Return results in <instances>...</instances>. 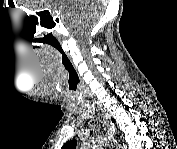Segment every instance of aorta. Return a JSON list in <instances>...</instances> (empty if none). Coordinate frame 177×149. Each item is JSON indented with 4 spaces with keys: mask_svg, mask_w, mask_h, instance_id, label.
<instances>
[{
    "mask_svg": "<svg viewBox=\"0 0 177 149\" xmlns=\"http://www.w3.org/2000/svg\"><path fill=\"white\" fill-rule=\"evenodd\" d=\"M106 142L105 138H97L92 143H86L83 146V149H102Z\"/></svg>",
    "mask_w": 177,
    "mask_h": 149,
    "instance_id": "obj_1",
    "label": "aorta"
}]
</instances>
